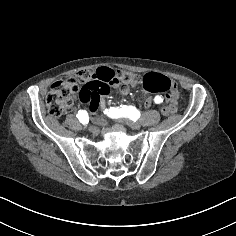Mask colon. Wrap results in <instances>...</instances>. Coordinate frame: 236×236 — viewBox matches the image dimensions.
I'll return each mask as SVG.
<instances>
[{
    "mask_svg": "<svg viewBox=\"0 0 236 236\" xmlns=\"http://www.w3.org/2000/svg\"><path fill=\"white\" fill-rule=\"evenodd\" d=\"M138 83H142L146 92L166 94L168 104L162 108L164 116L175 113L178 91L176 84L168 77L155 73L140 77L128 71H115L107 67L83 69L76 79L54 82L46 99L47 110L53 117L62 116L72 108L76 95L90 108H96L101 97L107 95L112 88L129 87ZM78 84L82 85L81 89Z\"/></svg>",
    "mask_w": 236,
    "mask_h": 236,
    "instance_id": "5ec220e1",
    "label": "colon"
}]
</instances>
